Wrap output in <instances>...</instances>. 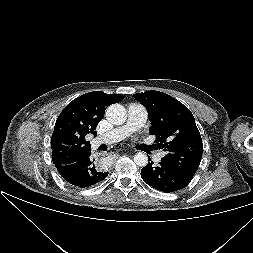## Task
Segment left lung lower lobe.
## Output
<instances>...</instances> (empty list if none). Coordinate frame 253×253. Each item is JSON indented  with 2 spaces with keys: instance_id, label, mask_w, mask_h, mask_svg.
<instances>
[{
  "instance_id": "left-lung-lower-lobe-1",
  "label": "left lung lower lobe",
  "mask_w": 253,
  "mask_h": 253,
  "mask_svg": "<svg viewBox=\"0 0 253 253\" xmlns=\"http://www.w3.org/2000/svg\"><path fill=\"white\" fill-rule=\"evenodd\" d=\"M141 177L149 186L165 193L180 190L191 181L163 161L156 166L153 162H148L141 169Z\"/></svg>"
}]
</instances>
